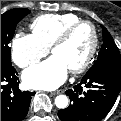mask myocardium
Listing matches in <instances>:
<instances>
[{"mask_svg":"<svg viewBox=\"0 0 121 121\" xmlns=\"http://www.w3.org/2000/svg\"><path fill=\"white\" fill-rule=\"evenodd\" d=\"M81 26H88L91 29L92 32V43L89 49V52L84 59V61L78 65L77 67L70 70V73L72 74H79L84 72L88 66L91 64L97 49L99 45V34L98 30L95 26V24L89 20H79L71 25H69L67 28H65L62 33L55 39V41L51 45V52L59 47L60 45L66 43L68 39L72 36V34Z\"/></svg>","mask_w":121,"mask_h":121,"instance_id":"obj_1","label":"myocardium"}]
</instances>
